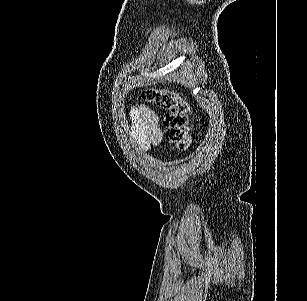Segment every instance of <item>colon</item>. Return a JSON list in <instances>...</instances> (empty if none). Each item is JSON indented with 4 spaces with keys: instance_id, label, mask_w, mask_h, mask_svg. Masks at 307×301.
<instances>
[{
    "instance_id": "5ec220e1",
    "label": "colon",
    "mask_w": 307,
    "mask_h": 301,
    "mask_svg": "<svg viewBox=\"0 0 307 301\" xmlns=\"http://www.w3.org/2000/svg\"><path fill=\"white\" fill-rule=\"evenodd\" d=\"M142 98L166 111L164 118L166 139L179 150H187L192 143L188 126L189 104L175 92L150 88Z\"/></svg>"
}]
</instances>
